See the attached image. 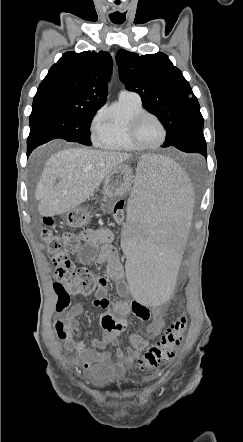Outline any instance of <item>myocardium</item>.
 I'll use <instances>...</instances> for the list:
<instances>
[{
    "label": "myocardium",
    "instance_id": "f54148a6",
    "mask_svg": "<svg viewBox=\"0 0 243 442\" xmlns=\"http://www.w3.org/2000/svg\"><path fill=\"white\" fill-rule=\"evenodd\" d=\"M146 117L154 118L158 122V124L160 125V127L162 129V137H161L160 141L157 144L152 145V146L142 144L137 138L138 124L140 123V121L142 119H144ZM128 134H129V139H130L131 143L136 148L141 149V150H156L164 144V142L167 139L168 132H167V127H166L165 123L157 114L150 112V111H143V112L137 114L131 120L130 125H129Z\"/></svg>",
    "mask_w": 243,
    "mask_h": 442
}]
</instances>
